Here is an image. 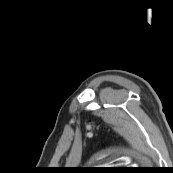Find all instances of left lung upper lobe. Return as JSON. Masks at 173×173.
Returning <instances> with one entry per match:
<instances>
[{
	"mask_svg": "<svg viewBox=\"0 0 173 173\" xmlns=\"http://www.w3.org/2000/svg\"><path fill=\"white\" fill-rule=\"evenodd\" d=\"M118 169H116V168H106L105 170H103V171H110V172H115V171H117Z\"/></svg>",
	"mask_w": 173,
	"mask_h": 173,
	"instance_id": "left-lung-upper-lobe-1",
	"label": "left lung upper lobe"
}]
</instances>
